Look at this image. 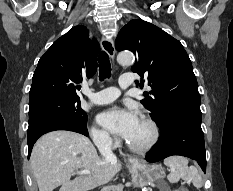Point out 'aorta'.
<instances>
[{
	"label": "aorta",
	"mask_w": 233,
	"mask_h": 191,
	"mask_svg": "<svg viewBox=\"0 0 233 191\" xmlns=\"http://www.w3.org/2000/svg\"><path fill=\"white\" fill-rule=\"evenodd\" d=\"M135 57L129 51H122L117 55V61L121 65L130 66L134 63Z\"/></svg>",
	"instance_id": "obj_1"
}]
</instances>
